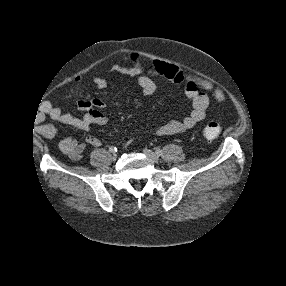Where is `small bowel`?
<instances>
[{"mask_svg":"<svg viewBox=\"0 0 286 286\" xmlns=\"http://www.w3.org/2000/svg\"><path fill=\"white\" fill-rule=\"evenodd\" d=\"M162 64L166 67V75L163 77L172 82L184 85L185 94L191 103L192 109L182 120H171L158 127L155 130V134L158 136L171 135L191 129L198 122L203 120L209 105V98L205 93L199 90L195 77L175 65L167 63ZM113 70L135 77L137 84L144 95H151L156 90V83L152 78L136 72L133 68L115 65ZM94 83L98 89H105L107 87L106 79L101 76L94 77ZM104 106V102L100 99L79 100L78 107L80 110L84 111V115L80 118L65 113L62 109L55 106L50 107L48 115L51 119L60 124L87 131L92 125L106 124L107 117L102 111ZM41 131L45 136L51 137L57 132V128L53 125H43ZM100 144L101 141L94 135H87L85 143H79L73 137H66L60 141L59 148L63 154L67 155L70 159L77 161L83 157L86 145L97 147ZM127 145H129V142Z\"/></svg>","mask_w":286,"mask_h":286,"instance_id":"1","label":"small bowel"}]
</instances>
